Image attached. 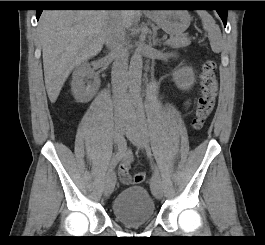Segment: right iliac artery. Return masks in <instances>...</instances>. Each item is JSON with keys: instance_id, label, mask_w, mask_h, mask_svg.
<instances>
[{"instance_id": "obj_1", "label": "right iliac artery", "mask_w": 265, "mask_h": 245, "mask_svg": "<svg viewBox=\"0 0 265 245\" xmlns=\"http://www.w3.org/2000/svg\"><path fill=\"white\" fill-rule=\"evenodd\" d=\"M123 151H124V145L121 140L119 143H117L116 151L108 163V171H111L112 168L115 165H117V163L121 160Z\"/></svg>"}]
</instances>
